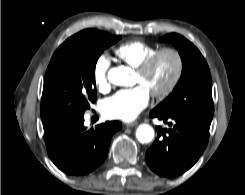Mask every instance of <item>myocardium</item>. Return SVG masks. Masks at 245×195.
<instances>
[{"instance_id":"myocardium-1","label":"myocardium","mask_w":245,"mask_h":195,"mask_svg":"<svg viewBox=\"0 0 245 195\" xmlns=\"http://www.w3.org/2000/svg\"><path fill=\"white\" fill-rule=\"evenodd\" d=\"M164 54H170L174 58L175 69L168 84L163 89L151 93V96L157 99L165 98L169 94H171L173 90L176 88V86L178 85L182 77L184 63L180 51L171 47L159 49L156 52H154L152 55H150L148 58H146L136 68V73L139 74L140 76H144L149 72V70L153 67L156 61Z\"/></svg>"}]
</instances>
